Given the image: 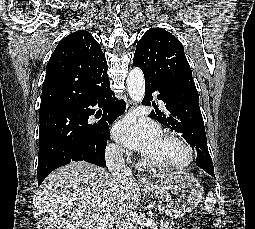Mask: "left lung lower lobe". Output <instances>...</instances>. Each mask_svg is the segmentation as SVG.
Instances as JSON below:
<instances>
[{"instance_id": "1", "label": "left lung lower lobe", "mask_w": 255, "mask_h": 229, "mask_svg": "<svg viewBox=\"0 0 255 229\" xmlns=\"http://www.w3.org/2000/svg\"><path fill=\"white\" fill-rule=\"evenodd\" d=\"M158 91V99L165 103L166 112L152 111L150 117L176 132L187 134L195 141L197 150L196 164L207 173L214 175L204 122L199 107L198 92L170 81L145 78L144 105H151L152 93Z\"/></svg>"}]
</instances>
